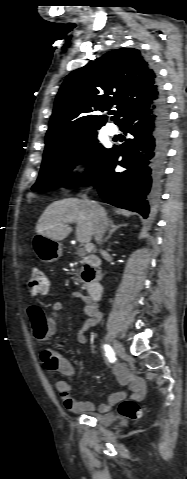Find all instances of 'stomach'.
<instances>
[{"instance_id":"obj_1","label":"stomach","mask_w":187,"mask_h":479,"mask_svg":"<svg viewBox=\"0 0 187 479\" xmlns=\"http://www.w3.org/2000/svg\"><path fill=\"white\" fill-rule=\"evenodd\" d=\"M32 247L36 256L43 262H53L62 256L61 243L40 234L33 237Z\"/></svg>"}]
</instances>
